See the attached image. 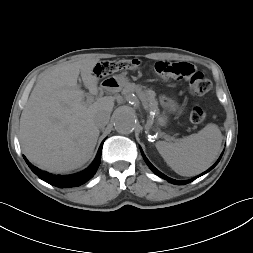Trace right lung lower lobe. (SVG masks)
I'll list each match as a JSON object with an SVG mask.
<instances>
[{"mask_svg": "<svg viewBox=\"0 0 253 253\" xmlns=\"http://www.w3.org/2000/svg\"><path fill=\"white\" fill-rule=\"evenodd\" d=\"M102 146H103V142L98 150L95 160L87 169H85L84 171H82L80 173L68 175V176L52 175V174H49L45 171H41L38 168H36L35 166L31 165L26 160L25 156H24V159L26 160L30 169L40 179L44 180L45 182H47L51 185L59 187V188H69V187H75V186L82 185L83 183H85L86 181H88L90 178H92L95 175V173L100 165V162H101Z\"/></svg>", "mask_w": 253, "mask_h": 253, "instance_id": "1", "label": "right lung lower lobe"}]
</instances>
